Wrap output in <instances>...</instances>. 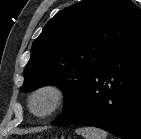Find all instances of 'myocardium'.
<instances>
[{"label":"myocardium","mask_w":141,"mask_h":139,"mask_svg":"<svg viewBox=\"0 0 141 139\" xmlns=\"http://www.w3.org/2000/svg\"><path fill=\"white\" fill-rule=\"evenodd\" d=\"M43 94L51 97L48 108L42 112L35 109L37 98ZM68 93L65 87L57 82H45L36 86L28 96L29 112L36 118L46 119L59 111L67 101Z\"/></svg>","instance_id":"f54148a6"}]
</instances>
